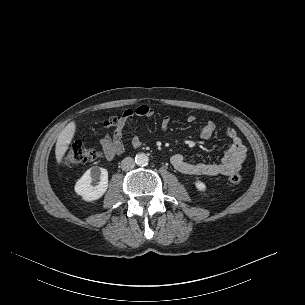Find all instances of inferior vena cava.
I'll return each instance as SVG.
<instances>
[{
  "label": "inferior vena cava",
  "mask_w": 305,
  "mask_h": 305,
  "mask_svg": "<svg viewBox=\"0 0 305 305\" xmlns=\"http://www.w3.org/2000/svg\"><path fill=\"white\" fill-rule=\"evenodd\" d=\"M134 166H135V162L131 157H126L121 162V168L124 171L131 170L134 168Z\"/></svg>",
  "instance_id": "obj_1"
}]
</instances>
